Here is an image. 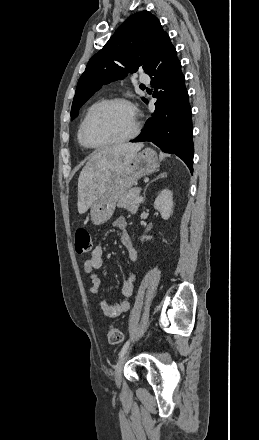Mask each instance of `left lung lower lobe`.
Masks as SVG:
<instances>
[{
  "label": "left lung lower lobe",
  "instance_id": "left-lung-lower-lobe-1",
  "mask_svg": "<svg viewBox=\"0 0 259 440\" xmlns=\"http://www.w3.org/2000/svg\"><path fill=\"white\" fill-rule=\"evenodd\" d=\"M157 98L155 111L132 142L150 141L165 153L180 157L193 172L191 108L181 63L169 36L146 72ZM147 102V100H146Z\"/></svg>",
  "mask_w": 259,
  "mask_h": 440
}]
</instances>
